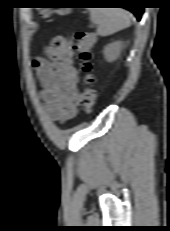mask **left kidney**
<instances>
[{
    "instance_id": "obj_1",
    "label": "left kidney",
    "mask_w": 170,
    "mask_h": 231,
    "mask_svg": "<svg viewBox=\"0 0 170 231\" xmlns=\"http://www.w3.org/2000/svg\"><path fill=\"white\" fill-rule=\"evenodd\" d=\"M122 46H123L122 41H116V42H113L111 44H108L104 48V51H103L105 59L108 62L115 61L121 53Z\"/></svg>"
}]
</instances>
